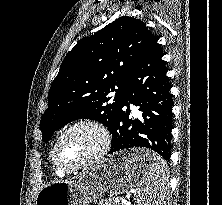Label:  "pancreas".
Here are the masks:
<instances>
[{
	"label": "pancreas",
	"mask_w": 222,
	"mask_h": 205,
	"mask_svg": "<svg viewBox=\"0 0 222 205\" xmlns=\"http://www.w3.org/2000/svg\"><path fill=\"white\" fill-rule=\"evenodd\" d=\"M98 205H122L118 198L110 197L109 199L101 200Z\"/></svg>",
	"instance_id": "pancreas-1"
}]
</instances>
